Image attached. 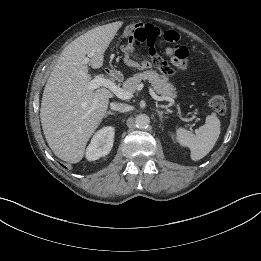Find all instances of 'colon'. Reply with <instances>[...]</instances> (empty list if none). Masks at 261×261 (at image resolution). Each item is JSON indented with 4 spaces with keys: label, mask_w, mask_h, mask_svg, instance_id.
Segmentation results:
<instances>
[{
    "label": "colon",
    "mask_w": 261,
    "mask_h": 261,
    "mask_svg": "<svg viewBox=\"0 0 261 261\" xmlns=\"http://www.w3.org/2000/svg\"><path fill=\"white\" fill-rule=\"evenodd\" d=\"M121 37L132 41L135 45H144L148 48L150 61L153 66L162 73L172 74L166 60H164L156 50V39L158 41H168L174 43L179 55H184V50L179 41V31L177 29H162L152 23H140L136 20H126L121 28ZM208 107L217 114H224L227 109L226 99L221 95H214L208 100Z\"/></svg>",
    "instance_id": "5ec220e1"
}]
</instances>
